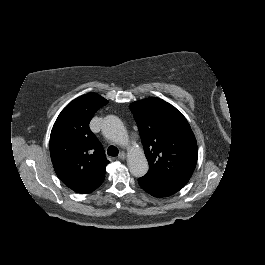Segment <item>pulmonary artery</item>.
<instances>
[{
  "mask_svg": "<svg viewBox=\"0 0 265 265\" xmlns=\"http://www.w3.org/2000/svg\"><path fill=\"white\" fill-rule=\"evenodd\" d=\"M116 141L121 142L122 139L121 138H116Z\"/></svg>",
  "mask_w": 265,
  "mask_h": 265,
  "instance_id": "pulmonary-artery-1",
  "label": "pulmonary artery"
}]
</instances>
